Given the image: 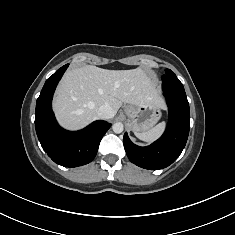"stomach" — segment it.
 Masks as SVG:
<instances>
[{"label":"stomach","instance_id":"obj_1","mask_svg":"<svg viewBox=\"0 0 235 235\" xmlns=\"http://www.w3.org/2000/svg\"><path fill=\"white\" fill-rule=\"evenodd\" d=\"M124 113L127 116L130 129L134 133L145 132L152 128L161 118V107L154 103L126 105Z\"/></svg>","mask_w":235,"mask_h":235}]
</instances>
